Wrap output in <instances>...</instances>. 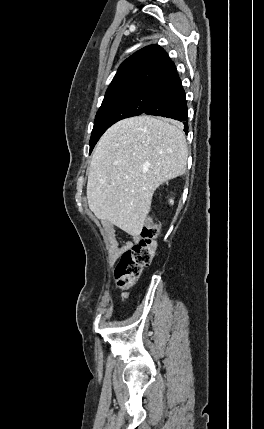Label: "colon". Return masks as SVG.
Listing matches in <instances>:
<instances>
[{
  "label": "colon",
  "mask_w": 264,
  "mask_h": 429,
  "mask_svg": "<svg viewBox=\"0 0 264 429\" xmlns=\"http://www.w3.org/2000/svg\"><path fill=\"white\" fill-rule=\"evenodd\" d=\"M160 234L158 224L148 220L140 233L139 241L130 249L121 253L114 268L116 288L124 297L126 290L138 279L143 267L150 264L157 247Z\"/></svg>",
  "instance_id": "obj_1"
}]
</instances>
